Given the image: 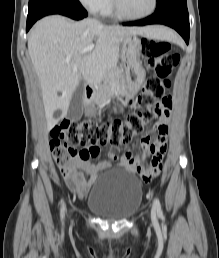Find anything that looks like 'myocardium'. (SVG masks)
I'll use <instances>...</instances> for the list:
<instances>
[{
    "mask_svg": "<svg viewBox=\"0 0 219 258\" xmlns=\"http://www.w3.org/2000/svg\"><path fill=\"white\" fill-rule=\"evenodd\" d=\"M112 1V6H113V10L115 12V14L123 19H127V20H140V19H144L146 17H149L150 15H152L158 6V0H153V4L151 9L144 13V14H140V15H130L127 14L121 7L120 1L119 0H111Z\"/></svg>",
    "mask_w": 219,
    "mask_h": 258,
    "instance_id": "obj_1",
    "label": "myocardium"
}]
</instances>
